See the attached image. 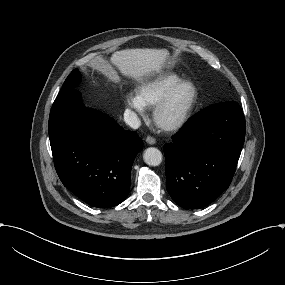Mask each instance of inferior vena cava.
Instances as JSON below:
<instances>
[{
	"mask_svg": "<svg viewBox=\"0 0 285 285\" xmlns=\"http://www.w3.org/2000/svg\"><path fill=\"white\" fill-rule=\"evenodd\" d=\"M124 121L133 129H138L140 127V120L137 118L135 112L130 109H126L124 112Z\"/></svg>",
	"mask_w": 285,
	"mask_h": 285,
	"instance_id": "obj_1",
	"label": "inferior vena cava"
}]
</instances>
